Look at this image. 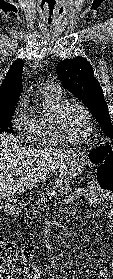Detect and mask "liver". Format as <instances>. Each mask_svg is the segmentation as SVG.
<instances>
[{
  "instance_id": "obj_1",
  "label": "liver",
  "mask_w": 113,
  "mask_h": 279,
  "mask_svg": "<svg viewBox=\"0 0 113 279\" xmlns=\"http://www.w3.org/2000/svg\"><path fill=\"white\" fill-rule=\"evenodd\" d=\"M71 152L26 148L16 137L0 134V200L36 187L61 167Z\"/></svg>"
}]
</instances>
